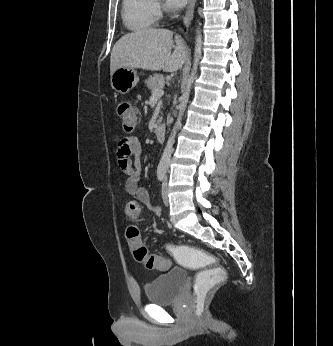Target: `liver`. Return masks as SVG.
<instances>
[{
    "instance_id": "liver-1",
    "label": "liver",
    "mask_w": 333,
    "mask_h": 346,
    "mask_svg": "<svg viewBox=\"0 0 333 346\" xmlns=\"http://www.w3.org/2000/svg\"><path fill=\"white\" fill-rule=\"evenodd\" d=\"M185 60L186 49L179 36L173 39V32L166 29H143L126 34L115 43L110 73L120 67L175 72L182 68Z\"/></svg>"
}]
</instances>
